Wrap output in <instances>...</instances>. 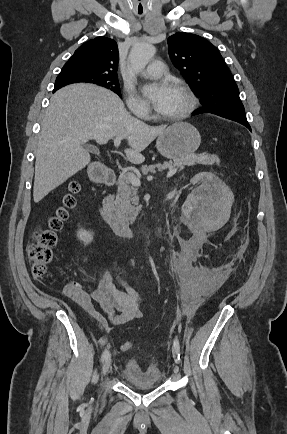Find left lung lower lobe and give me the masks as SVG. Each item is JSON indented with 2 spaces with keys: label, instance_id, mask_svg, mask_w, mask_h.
I'll return each instance as SVG.
<instances>
[{
  "label": "left lung lower lobe",
  "instance_id": "0a47b994",
  "mask_svg": "<svg viewBox=\"0 0 287 434\" xmlns=\"http://www.w3.org/2000/svg\"><path fill=\"white\" fill-rule=\"evenodd\" d=\"M202 113H213L218 116L236 121L244 126H246L249 130H251V127L249 123L247 122L245 110H232V109H220V110H208V109H198L196 110L193 115H198Z\"/></svg>",
  "mask_w": 287,
  "mask_h": 434
}]
</instances>
